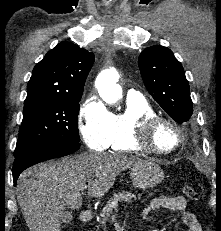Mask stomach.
Listing matches in <instances>:
<instances>
[{
	"label": "stomach",
	"mask_w": 221,
	"mask_h": 231,
	"mask_svg": "<svg viewBox=\"0 0 221 231\" xmlns=\"http://www.w3.org/2000/svg\"><path fill=\"white\" fill-rule=\"evenodd\" d=\"M133 184L139 188H153L164 179V172L156 163L141 160L130 169Z\"/></svg>",
	"instance_id": "1"
}]
</instances>
